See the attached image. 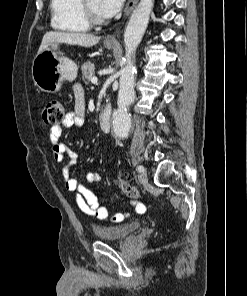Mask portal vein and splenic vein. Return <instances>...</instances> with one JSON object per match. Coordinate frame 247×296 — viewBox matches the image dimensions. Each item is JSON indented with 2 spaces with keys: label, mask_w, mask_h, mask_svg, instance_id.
I'll use <instances>...</instances> for the list:
<instances>
[{
  "label": "portal vein and splenic vein",
  "mask_w": 247,
  "mask_h": 296,
  "mask_svg": "<svg viewBox=\"0 0 247 296\" xmlns=\"http://www.w3.org/2000/svg\"><path fill=\"white\" fill-rule=\"evenodd\" d=\"M97 81H98L97 77H92V78H91V82H92L93 84L97 83Z\"/></svg>",
  "instance_id": "obj_1"
}]
</instances>
